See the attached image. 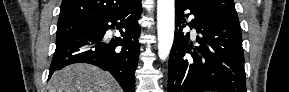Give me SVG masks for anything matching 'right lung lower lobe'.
I'll return each mask as SVG.
<instances>
[{
  "mask_svg": "<svg viewBox=\"0 0 289 92\" xmlns=\"http://www.w3.org/2000/svg\"><path fill=\"white\" fill-rule=\"evenodd\" d=\"M141 12V0H135L130 7L98 18L80 33L56 42L49 78L67 65L89 63L109 71L124 92H134ZM115 28L120 30L121 37L108 40L106 31Z\"/></svg>",
  "mask_w": 289,
  "mask_h": 92,
  "instance_id": "obj_1",
  "label": "right lung lower lobe"
}]
</instances>
